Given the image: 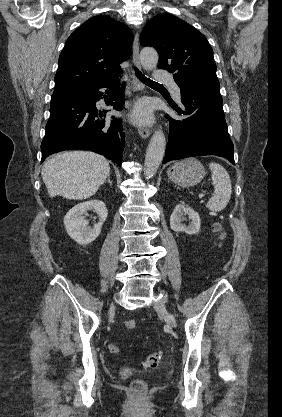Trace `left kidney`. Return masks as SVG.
<instances>
[{"instance_id":"5707ae66","label":"left kidney","mask_w":282,"mask_h":417,"mask_svg":"<svg viewBox=\"0 0 282 417\" xmlns=\"http://www.w3.org/2000/svg\"><path fill=\"white\" fill-rule=\"evenodd\" d=\"M184 215H188L191 221L188 227L182 223ZM200 225L201 219L198 213L193 211L189 204H185V202H182V204H176L175 209L170 217V227L172 231H175V233L184 231V233H187V235H196V233H199L200 231Z\"/></svg>"}]
</instances>
